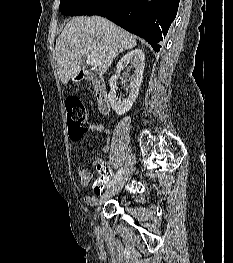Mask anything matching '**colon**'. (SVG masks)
Returning <instances> with one entry per match:
<instances>
[{
    "mask_svg": "<svg viewBox=\"0 0 233 263\" xmlns=\"http://www.w3.org/2000/svg\"><path fill=\"white\" fill-rule=\"evenodd\" d=\"M66 112L68 121L69 136L72 140H80L88 128V112L80 99L76 97L69 98L66 102ZM112 180V171H98L97 183L92 184L95 195H109L110 191L105 189V184ZM132 182L135 180L132 179ZM139 186V183H135Z\"/></svg>",
    "mask_w": 233,
    "mask_h": 263,
    "instance_id": "5ec220e1",
    "label": "colon"
}]
</instances>
